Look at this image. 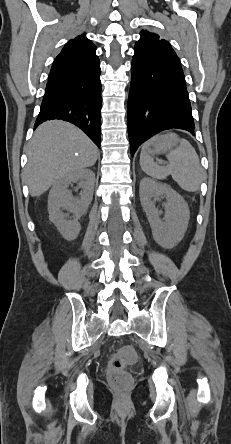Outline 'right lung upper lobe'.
<instances>
[{
    "label": "right lung upper lobe",
    "instance_id": "right-lung-upper-lobe-1",
    "mask_svg": "<svg viewBox=\"0 0 231 444\" xmlns=\"http://www.w3.org/2000/svg\"><path fill=\"white\" fill-rule=\"evenodd\" d=\"M95 51L96 46L85 35L70 40L54 60L49 80L95 69L100 65Z\"/></svg>",
    "mask_w": 231,
    "mask_h": 444
}]
</instances>
